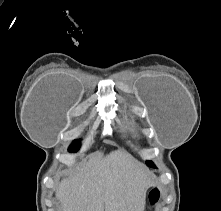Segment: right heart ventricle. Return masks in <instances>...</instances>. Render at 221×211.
Listing matches in <instances>:
<instances>
[{
    "instance_id": "right-heart-ventricle-1",
    "label": "right heart ventricle",
    "mask_w": 221,
    "mask_h": 211,
    "mask_svg": "<svg viewBox=\"0 0 221 211\" xmlns=\"http://www.w3.org/2000/svg\"><path fill=\"white\" fill-rule=\"evenodd\" d=\"M131 132L133 133V132H134V130H133V129H131Z\"/></svg>"
}]
</instances>
